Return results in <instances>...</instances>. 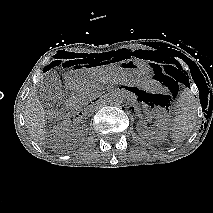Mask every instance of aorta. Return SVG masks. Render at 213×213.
Segmentation results:
<instances>
[{"label":"aorta","instance_id":"aorta-1","mask_svg":"<svg viewBox=\"0 0 213 213\" xmlns=\"http://www.w3.org/2000/svg\"><path fill=\"white\" fill-rule=\"evenodd\" d=\"M108 103L111 106L119 107L123 103V97L119 93H113L108 98Z\"/></svg>","mask_w":213,"mask_h":213}]
</instances>
